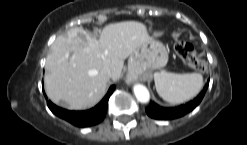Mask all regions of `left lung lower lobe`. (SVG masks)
Returning a JSON list of instances; mask_svg holds the SVG:
<instances>
[{
    "instance_id": "0a47b994",
    "label": "left lung lower lobe",
    "mask_w": 247,
    "mask_h": 145,
    "mask_svg": "<svg viewBox=\"0 0 247 145\" xmlns=\"http://www.w3.org/2000/svg\"><path fill=\"white\" fill-rule=\"evenodd\" d=\"M208 88V84L205 85L203 91L186 105H180L177 108H164L160 107L154 102H150V105L146 108V113L154 119H175L181 117L191 110H193L203 99L205 92Z\"/></svg>"
}]
</instances>
